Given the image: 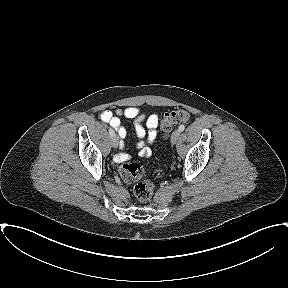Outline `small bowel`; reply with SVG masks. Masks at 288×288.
<instances>
[{
	"mask_svg": "<svg viewBox=\"0 0 288 288\" xmlns=\"http://www.w3.org/2000/svg\"><path fill=\"white\" fill-rule=\"evenodd\" d=\"M120 117L135 120V132L138 138L136 143L138 155L141 158L150 157L152 153L150 145L155 142L157 137L156 128L159 122L158 114H148L138 107L119 108L116 109L114 113L110 110H103L100 113L101 120L113 127L118 136L123 139L125 138L127 131L121 123ZM130 158L131 156L126 152H121L116 156L117 162H124Z\"/></svg>",
	"mask_w": 288,
	"mask_h": 288,
	"instance_id": "c3829d8e",
	"label": "small bowel"
}]
</instances>
